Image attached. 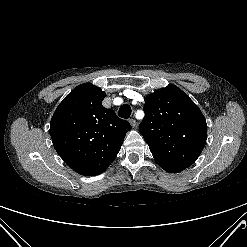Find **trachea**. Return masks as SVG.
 <instances>
[{"instance_id":"1","label":"trachea","mask_w":247,"mask_h":247,"mask_svg":"<svg viewBox=\"0 0 247 247\" xmlns=\"http://www.w3.org/2000/svg\"><path fill=\"white\" fill-rule=\"evenodd\" d=\"M131 112H132L131 107L128 104H124L120 107L118 115L121 118L127 119L130 117Z\"/></svg>"}]
</instances>
